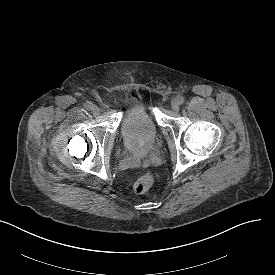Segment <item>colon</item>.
<instances>
[{
	"mask_svg": "<svg viewBox=\"0 0 275 275\" xmlns=\"http://www.w3.org/2000/svg\"><path fill=\"white\" fill-rule=\"evenodd\" d=\"M154 182V177L150 173H145L140 176L133 184V190L136 194L146 193Z\"/></svg>",
	"mask_w": 275,
	"mask_h": 275,
	"instance_id": "5ec220e1",
	"label": "colon"
}]
</instances>
